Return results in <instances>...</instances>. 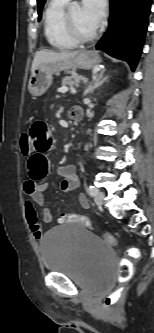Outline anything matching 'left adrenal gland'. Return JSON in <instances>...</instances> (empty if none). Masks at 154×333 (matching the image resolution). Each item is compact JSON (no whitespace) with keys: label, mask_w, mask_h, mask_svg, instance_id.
<instances>
[{"label":"left adrenal gland","mask_w":154,"mask_h":333,"mask_svg":"<svg viewBox=\"0 0 154 333\" xmlns=\"http://www.w3.org/2000/svg\"><path fill=\"white\" fill-rule=\"evenodd\" d=\"M105 69L101 70L100 73L93 78L92 82H90L86 92L92 93L96 88L100 87L105 81L108 80V76L104 77Z\"/></svg>","instance_id":"obj_1"}]
</instances>
